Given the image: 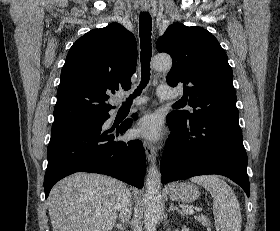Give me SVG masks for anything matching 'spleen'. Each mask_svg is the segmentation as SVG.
Wrapping results in <instances>:
<instances>
[{
	"label": "spleen",
	"mask_w": 280,
	"mask_h": 231,
	"mask_svg": "<svg viewBox=\"0 0 280 231\" xmlns=\"http://www.w3.org/2000/svg\"><path fill=\"white\" fill-rule=\"evenodd\" d=\"M191 181L199 183L210 191L213 197V213L221 231H240L242 217L239 201L226 181L219 175H196Z\"/></svg>",
	"instance_id": "obj_1"
}]
</instances>
